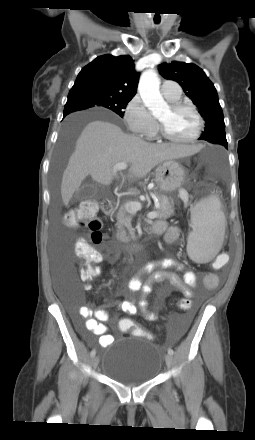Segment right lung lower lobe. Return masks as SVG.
Listing matches in <instances>:
<instances>
[{"label": "right lung lower lobe", "mask_w": 255, "mask_h": 440, "mask_svg": "<svg viewBox=\"0 0 255 440\" xmlns=\"http://www.w3.org/2000/svg\"><path fill=\"white\" fill-rule=\"evenodd\" d=\"M66 115H68V114L65 113V114H64V117H65Z\"/></svg>", "instance_id": "right-lung-lower-lobe-1"}]
</instances>
